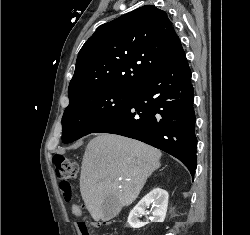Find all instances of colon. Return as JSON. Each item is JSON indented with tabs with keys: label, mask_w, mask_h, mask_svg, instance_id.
<instances>
[{
	"label": "colon",
	"mask_w": 250,
	"mask_h": 235,
	"mask_svg": "<svg viewBox=\"0 0 250 235\" xmlns=\"http://www.w3.org/2000/svg\"><path fill=\"white\" fill-rule=\"evenodd\" d=\"M53 163L55 166L56 177L60 181V188L63 193L64 200L69 203L73 200V191L70 181L75 179L78 175V164L76 161L63 155H55L53 157ZM78 226L82 235H92L91 229L93 223L80 220L78 222Z\"/></svg>",
	"instance_id": "5ec220e1"
}]
</instances>
